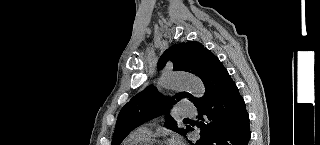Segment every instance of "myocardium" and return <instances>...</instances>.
I'll return each instance as SVG.
<instances>
[{
	"instance_id": "myocardium-1",
	"label": "myocardium",
	"mask_w": 320,
	"mask_h": 145,
	"mask_svg": "<svg viewBox=\"0 0 320 145\" xmlns=\"http://www.w3.org/2000/svg\"><path fill=\"white\" fill-rule=\"evenodd\" d=\"M145 145H162V143L160 141H149Z\"/></svg>"
}]
</instances>
